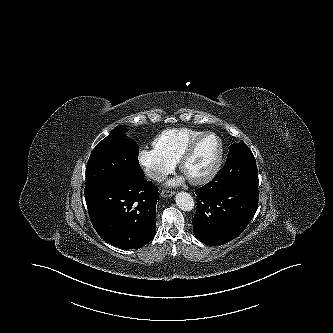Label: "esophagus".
Segmentation results:
<instances>
[{"mask_svg":"<svg viewBox=\"0 0 333 333\" xmlns=\"http://www.w3.org/2000/svg\"><path fill=\"white\" fill-rule=\"evenodd\" d=\"M175 194V192L174 191H170V190H162L161 192H160V195L162 196V197H171V196H173Z\"/></svg>","mask_w":333,"mask_h":333,"instance_id":"esophagus-1","label":"esophagus"}]
</instances>
